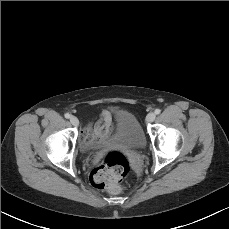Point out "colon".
<instances>
[{
    "instance_id": "5ec220e1",
    "label": "colon",
    "mask_w": 229,
    "mask_h": 229,
    "mask_svg": "<svg viewBox=\"0 0 229 229\" xmlns=\"http://www.w3.org/2000/svg\"><path fill=\"white\" fill-rule=\"evenodd\" d=\"M129 170L127 156L119 151H110L102 162L90 174V181L95 188L118 191Z\"/></svg>"
}]
</instances>
